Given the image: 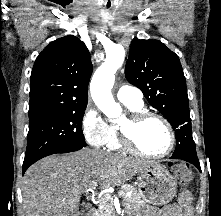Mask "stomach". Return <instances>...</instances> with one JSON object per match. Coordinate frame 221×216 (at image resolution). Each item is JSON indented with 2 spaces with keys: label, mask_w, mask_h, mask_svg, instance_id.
<instances>
[{
  "label": "stomach",
  "mask_w": 221,
  "mask_h": 216,
  "mask_svg": "<svg viewBox=\"0 0 221 216\" xmlns=\"http://www.w3.org/2000/svg\"><path fill=\"white\" fill-rule=\"evenodd\" d=\"M138 193L144 204H168L177 192V182L169 171L155 165L138 173Z\"/></svg>",
  "instance_id": "1"
}]
</instances>
